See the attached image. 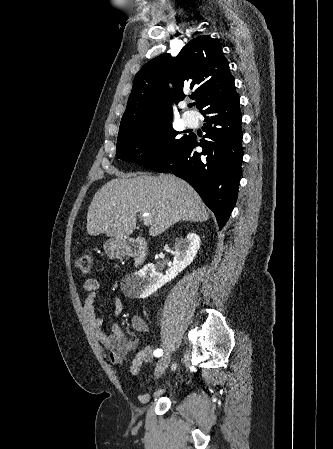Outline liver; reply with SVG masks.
<instances>
[{"label":"liver","instance_id":"liver-1","mask_svg":"<svg viewBox=\"0 0 333 449\" xmlns=\"http://www.w3.org/2000/svg\"><path fill=\"white\" fill-rule=\"evenodd\" d=\"M117 175L96 192L88 208L86 228L91 236L105 233L122 240L133 233L138 213L151 214V236L180 220L204 222L209 218L197 192L174 175Z\"/></svg>","mask_w":333,"mask_h":449}]
</instances>
